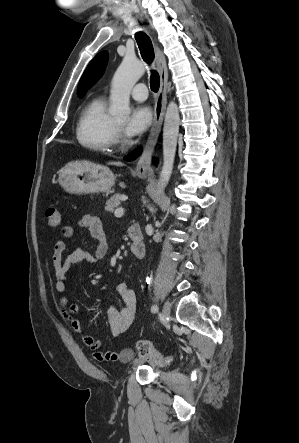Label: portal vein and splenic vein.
<instances>
[{"instance_id":"1","label":"portal vein and splenic vein","mask_w":299,"mask_h":443,"mask_svg":"<svg viewBox=\"0 0 299 443\" xmlns=\"http://www.w3.org/2000/svg\"><path fill=\"white\" fill-rule=\"evenodd\" d=\"M115 217H122L124 215V209L123 208H118L115 210L114 212Z\"/></svg>"}]
</instances>
